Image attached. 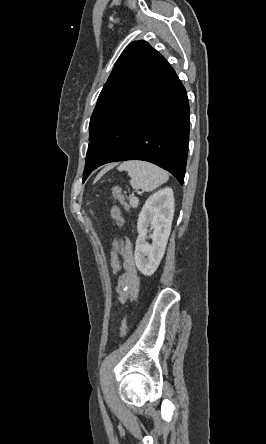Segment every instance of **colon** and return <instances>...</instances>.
Instances as JSON below:
<instances>
[{
	"label": "colon",
	"mask_w": 266,
	"mask_h": 444,
	"mask_svg": "<svg viewBox=\"0 0 266 444\" xmlns=\"http://www.w3.org/2000/svg\"><path fill=\"white\" fill-rule=\"evenodd\" d=\"M113 196L115 199L125 208L128 207L127 203L124 200V195L121 187H115L113 189ZM111 216L113 220L116 222L118 226L122 225L123 219L121 216L120 209L117 206H113L111 209ZM121 268V247L117 240H115L113 249L110 255V269L113 275H117ZM128 331V321L125 317L119 328L120 337H124Z\"/></svg>",
	"instance_id": "1"
}]
</instances>
